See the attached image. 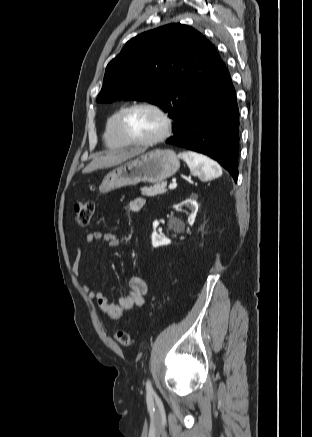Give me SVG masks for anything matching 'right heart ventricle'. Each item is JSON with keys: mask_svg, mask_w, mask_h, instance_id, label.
I'll list each match as a JSON object with an SVG mask.
<instances>
[{"mask_svg": "<svg viewBox=\"0 0 312 437\" xmlns=\"http://www.w3.org/2000/svg\"><path fill=\"white\" fill-rule=\"evenodd\" d=\"M123 109L124 108H119L114 113H112L105 124L103 138L106 146L111 149H123L129 145L120 136L117 128L118 118Z\"/></svg>", "mask_w": 312, "mask_h": 437, "instance_id": "1", "label": "right heart ventricle"}]
</instances>
